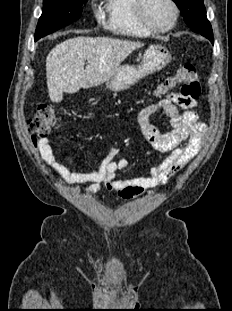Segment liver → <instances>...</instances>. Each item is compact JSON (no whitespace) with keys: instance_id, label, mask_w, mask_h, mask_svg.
I'll use <instances>...</instances> for the list:
<instances>
[{"instance_id":"obj_1","label":"liver","mask_w":232,"mask_h":311,"mask_svg":"<svg viewBox=\"0 0 232 311\" xmlns=\"http://www.w3.org/2000/svg\"><path fill=\"white\" fill-rule=\"evenodd\" d=\"M142 46V43L106 37H75L56 45L46 58L51 101L60 102L64 92L73 94L81 88L106 82L129 54Z\"/></svg>"}]
</instances>
